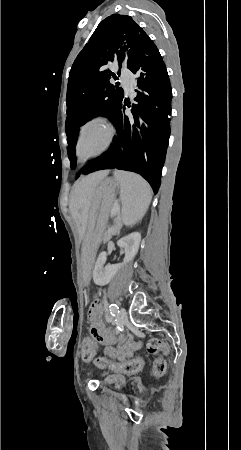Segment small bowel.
<instances>
[{
	"label": "small bowel",
	"instance_id": "small-bowel-1",
	"mask_svg": "<svg viewBox=\"0 0 241 450\" xmlns=\"http://www.w3.org/2000/svg\"><path fill=\"white\" fill-rule=\"evenodd\" d=\"M89 310L90 316L88 322L90 334L93 337L95 344V354L97 351V344L100 343L105 346V355L120 362H126L142 347V342L135 340L131 334L116 336L106 332L104 327H100L103 319L102 316H100L101 305L99 304V300L97 298H91L89 300ZM94 336H100L102 341H96ZM104 381L108 384L114 385L117 388L125 384V378L122 373L113 368L105 369Z\"/></svg>",
	"mask_w": 241,
	"mask_h": 450
}]
</instances>
